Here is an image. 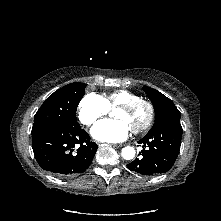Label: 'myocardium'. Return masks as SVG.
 Segmentation results:
<instances>
[{"mask_svg": "<svg viewBox=\"0 0 221 221\" xmlns=\"http://www.w3.org/2000/svg\"><path fill=\"white\" fill-rule=\"evenodd\" d=\"M141 105L147 108L148 114H147L146 120L141 125L131 128L132 132L135 134H138L147 130L152 125L154 121V117H155L154 105L147 99L138 98L136 100L121 104L117 107L118 109L131 112Z\"/></svg>", "mask_w": 221, "mask_h": 221, "instance_id": "obj_1", "label": "myocardium"}]
</instances>
